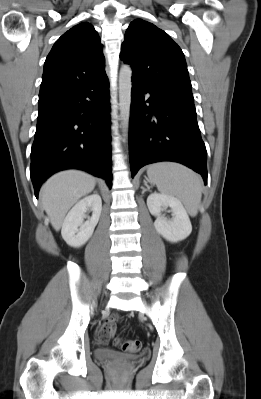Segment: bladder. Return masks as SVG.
Returning <instances> with one entry per match:
<instances>
[{"label":"bladder","mask_w":261,"mask_h":399,"mask_svg":"<svg viewBox=\"0 0 261 399\" xmlns=\"http://www.w3.org/2000/svg\"><path fill=\"white\" fill-rule=\"evenodd\" d=\"M94 355L98 360L111 361V360H132L133 355L123 354L110 349H96Z\"/></svg>","instance_id":"bladder-1"}]
</instances>
